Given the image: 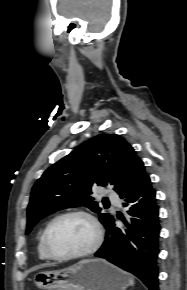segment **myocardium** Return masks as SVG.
<instances>
[{"label":"myocardium","instance_id":"1","mask_svg":"<svg viewBox=\"0 0 187 290\" xmlns=\"http://www.w3.org/2000/svg\"><path fill=\"white\" fill-rule=\"evenodd\" d=\"M70 216H80V217L85 218L92 226V229L94 231V240L91 246L82 252L60 255V254L55 253L51 247L50 234H51L52 228L58 221L66 217H70ZM102 240H103V233H102V229L98 220L92 213L83 209H72V210H68V211L60 213L48 223L43 233V245H44V249L46 253L51 259L58 260V261L74 260V259L88 257L94 254L100 248L102 244Z\"/></svg>","mask_w":187,"mask_h":290}]
</instances>
